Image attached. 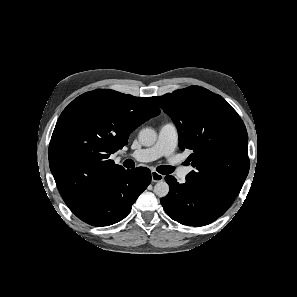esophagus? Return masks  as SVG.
<instances>
[{
  "label": "esophagus",
  "instance_id": "esophagus-1",
  "mask_svg": "<svg viewBox=\"0 0 297 297\" xmlns=\"http://www.w3.org/2000/svg\"><path fill=\"white\" fill-rule=\"evenodd\" d=\"M151 179L153 182H160L164 179V175L156 172V171H152L151 172Z\"/></svg>",
  "mask_w": 297,
  "mask_h": 297
}]
</instances>
